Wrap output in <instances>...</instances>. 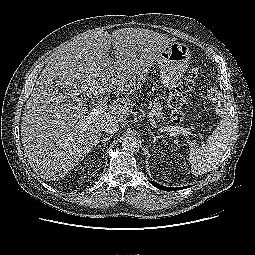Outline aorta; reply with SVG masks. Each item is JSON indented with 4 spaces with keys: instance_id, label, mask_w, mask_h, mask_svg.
<instances>
[{
    "instance_id": "obj_1",
    "label": "aorta",
    "mask_w": 255,
    "mask_h": 255,
    "mask_svg": "<svg viewBox=\"0 0 255 255\" xmlns=\"http://www.w3.org/2000/svg\"><path fill=\"white\" fill-rule=\"evenodd\" d=\"M122 147L126 152L134 153L139 149V140L135 136H126L122 141Z\"/></svg>"
}]
</instances>
